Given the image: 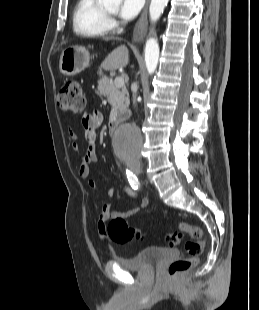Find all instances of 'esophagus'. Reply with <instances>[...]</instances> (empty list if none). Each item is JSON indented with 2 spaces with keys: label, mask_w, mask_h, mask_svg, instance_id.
<instances>
[{
  "label": "esophagus",
  "mask_w": 259,
  "mask_h": 310,
  "mask_svg": "<svg viewBox=\"0 0 259 310\" xmlns=\"http://www.w3.org/2000/svg\"><path fill=\"white\" fill-rule=\"evenodd\" d=\"M150 0H146V4L144 6L143 12L141 17L137 21L134 30H133V41L134 42H141L146 35L147 32V11L149 6Z\"/></svg>",
  "instance_id": "esophagus-1"
}]
</instances>
